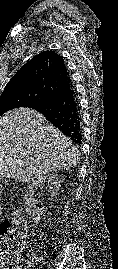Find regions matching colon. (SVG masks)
<instances>
[{
    "mask_svg": "<svg viewBox=\"0 0 118 269\" xmlns=\"http://www.w3.org/2000/svg\"><path fill=\"white\" fill-rule=\"evenodd\" d=\"M1 186L0 180V188ZM26 232V221L19 214L0 225V269H18L15 247L22 242Z\"/></svg>",
    "mask_w": 118,
    "mask_h": 269,
    "instance_id": "obj_1",
    "label": "colon"
}]
</instances>
